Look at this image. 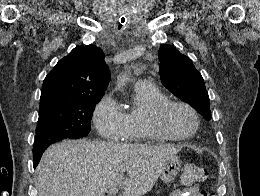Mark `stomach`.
Instances as JSON below:
<instances>
[{"label":"stomach","instance_id":"0dacf381","mask_svg":"<svg viewBox=\"0 0 260 196\" xmlns=\"http://www.w3.org/2000/svg\"><path fill=\"white\" fill-rule=\"evenodd\" d=\"M181 160L179 156H173L168 160L166 166L162 168L160 178L164 184H172L174 182L176 176H178L181 168Z\"/></svg>","mask_w":260,"mask_h":196}]
</instances>
